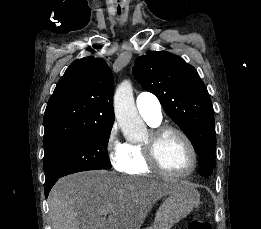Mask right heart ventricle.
Masks as SVG:
<instances>
[{
    "instance_id": "e07e8e85",
    "label": "right heart ventricle",
    "mask_w": 261,
    "mask_h": 229,
    "mask_svg": "<svg viewBox=\"0 0 261 229\" xmlns=\"http://www.w3.org/2000/svg\"><path fill=\"white\" fill-rule=\"evenodd\" d=\"M151 127L156 128L160 123L154 124L145 120ZM130 164L127 173L132 175H148L152 168L148 162L146 149L143 143H127Z\"/></svg>"
}]
</instances>
